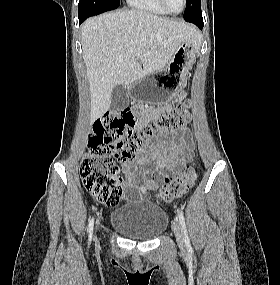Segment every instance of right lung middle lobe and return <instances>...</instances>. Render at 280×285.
<instances>
[{
  "mask_svg": "<svg viewBox=\"0 0 280 285\" xmlns=\"http://www.w3.org/2000/svg\"><path fill=\"white\" fill-rule=\"evenodd\" d=\"M120 0H80L78 4L79 18H88L105 11L116 9Z\"/></svg>",
  "mask_w": 280,
  "mask_h": 285,
  "instance_id": "obj_1",
  "label": "right lung middle lobe"
}]
</instances>
